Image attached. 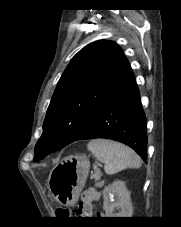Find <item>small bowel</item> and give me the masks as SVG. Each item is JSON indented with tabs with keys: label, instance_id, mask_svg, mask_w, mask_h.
<instances>
[{
	"label": "small bowel",
	"instance_id": "small-bowel-1",
	"mask_svg": "<svg viewBox=\"0 0 181 227\" xmlns=\"http://www.w3.org/2000/svg\"><path fill=\"white\" fill-rule=\"evenodd\" d=\"M101 199V193L94 189H89L85 191L80 200V206L78 209V214L83 217H100L103 213H94L93 203L98 202Z\"/></svg>",
	"mask_w": 181,
	"mask_h": 227
}]
</instances>
